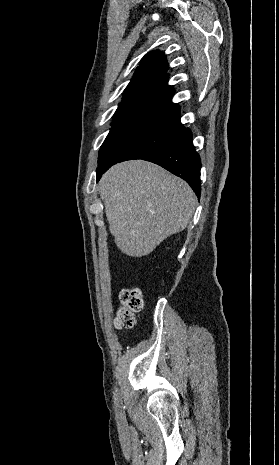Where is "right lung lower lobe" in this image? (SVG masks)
Instances as JSON below:
<instances>
[{
    "instance_id": "98d812e1",
    "label": "right lung lower lobe",
    "mask_w": 279,
    "mask_h": 465,
    "mask_svg": "<svg viewBox=\"0 0 279 465\" xmlns=\"http://www.w3.org/2000/svg\"><path fill=\"white\" fill-rule=\"evenodd\" d=\"M143 160L156 163L187 181L197 197H200L201 161L192 143V133L181 127L177 139L170 145L148 155ZM111 166L97 169V181Z\"/></svg>"
}]
</instances>
